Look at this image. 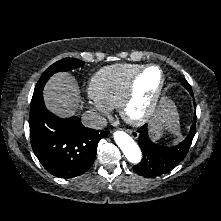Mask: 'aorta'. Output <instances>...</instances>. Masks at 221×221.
<instances>
[{"label": "aorta", "instance_id": "762f6f07", "mask_svg": "<svg viewBox=\"0 0 221 221\" xmlns=\"http://www.w3.org/2000/svg\"><path fill=\"white\" fill-rule=\"evenodd\" d=\"M114 140L129 162L134 164L140 162L142 158L141 150L131 136L124 131H116Z\"/></svg>", "mask_w": 221, "mask_h": 221}]
</instances>
